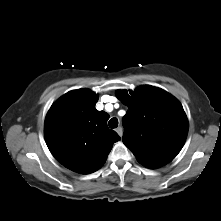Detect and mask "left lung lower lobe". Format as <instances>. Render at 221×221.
Segmentation results:
<instances>
[{
  "instance_id": "left-lung-lower-lobe-1",
  "label": "left lung lower lobe",
  "mask_w": 221,
  "mask_h": 221,
  "mask_svg": "<svg viewBox=\"0 0 221 221\" xmlns=\"http://www.w3.org/2000/svg\"><path fill=\"white\" fill-rule=\"evenodd\" d=\"M161 166H163V165H159V164H157V165L146 166V167L151 168V169H156V168H159V167H161Z\"/></svg>"
}]
</instances>
